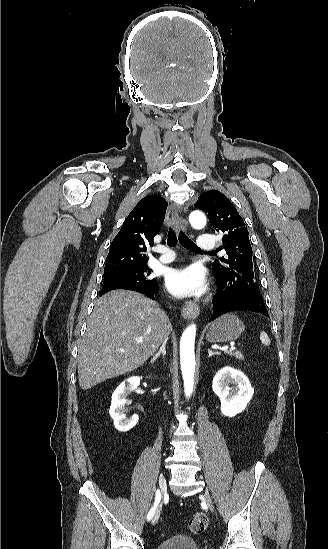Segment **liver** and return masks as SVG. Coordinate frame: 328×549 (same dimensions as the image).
<instances>
[{
  "label": "liver",
  "instance_id": "1",
  "mask_svg": "<svg viewBox=\"0 0 328 549\" xmlns=\"http://www.w3.org/2000/svg\"><path fill=\"white\" fill-rule=\"evenodd\" d=\"M172 325L160 305L134 291H111L95 303L78 355L80 389L131 373L168 341ZM143 337L142 343L135 339Z\"/></svg>",
  "mask_w": 328,
  "mask_h": 549
}]
</instances>
